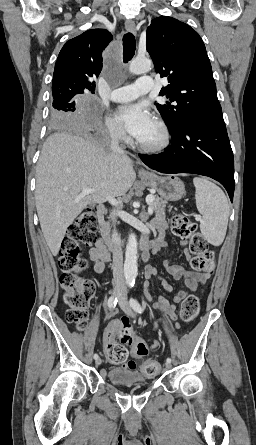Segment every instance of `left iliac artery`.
Returning a JSON list of instances; mask_svg holds the SVG:
<instances>
[{"mask_svg": "<svg viewBox=\"0 0 256 445\" xmlns=\"http://www.w3.org/2000/svg\"><path fill=\"white\" fill-rule=\"evenodd\" d=\"M129 303H130V306L134 309V311H136L137 313H142L143 309H142L141 305L139 304V302L136 299L130 298ZM166 361L171 363V358L168 357L166 359Z\"/></svg>", "mask_w": 256, "mask_h": 445, "instance_id": "obj_1", "label": "left iliac artery"}]
</instances>
